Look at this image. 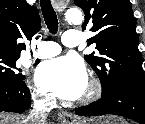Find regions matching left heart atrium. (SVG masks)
I'll return each mask as SVG.
<instances>
[{
  "instance_id": "1",
  "label": "left heart atrium",
  "mask_w": 145,
  "mask_h": 124,
  "mask_svg": "<svg viewBox=\"0 0 145 124\" xmlns=\"http://www.w3.org/2000/svg\"><path fill=\"white\" fill-rule=\"evenodd\" d=\"M36 82L41 89L66 100L80 98L88 83L84 64L73 56L43 62L36 71Z\"/></svg>"
}]
</instances>
